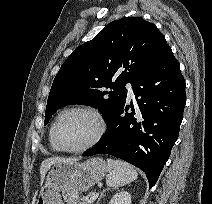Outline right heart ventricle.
Masks as SVG:
<instances>
[{"label":"right heart ventricle","mask_w":212,"mask_h":204,"mask_svg":"<svg viewBox=\"0 0 212 204\" xmlns=\"http://www.w3.org/2000/svg\"><path fill=\"white\" fill-rule=\"evenodd\" d=\"M49 144H50V147L52 148V150H54V151H60V149L57 147V145L55 144V142L53 140L51 130L49 132Z\"/></svg>","instance_id":"1"}]
</instances>
